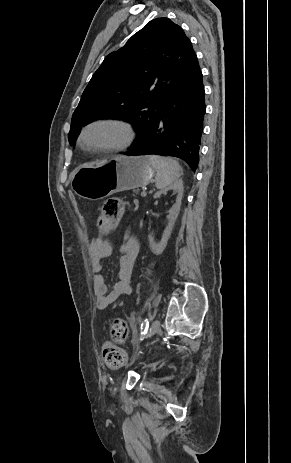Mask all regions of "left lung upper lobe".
I'll list each match as a JSON object with an SVG mask.
<instances>
[{"label": "left lung upper lobe", "instance_id": "left-lung-upper-lobe-1", "mask_svg": "<svg viewBox=\"0 0 291 463\" xmlns=\"http://www.w3.org/2000/svg\"><path fill=\"white\" fill-rule=\"evenodd\" d=\"M199 68L182 28L168 18L151 20L93 74L71 119L70 145L83 126L101 118L130 122L135 144L169 94Z\"/></svg>", "mask_w": 291, "mask_h": 463}]
</instances>
